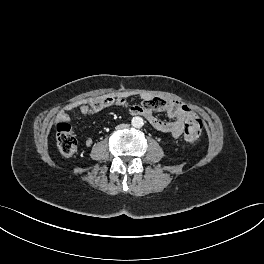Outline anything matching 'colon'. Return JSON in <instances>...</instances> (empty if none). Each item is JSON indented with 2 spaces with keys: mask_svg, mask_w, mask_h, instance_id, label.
Segmentation results:
<instances>
[{
  "mask_svg": "<svg viewBox=\"0 0 264 264\" xmlns=\"http://www.w3.org/2000/svg\"><path fill=\"white\" fill-rule=\"evenodd\" d=\"M202 122L200 119L191 117L187 119L184 127L185 140L194 144L202 133ZM56 141L59 151L67 157L77 151V141L68 121H61L57 124Z\"/></svg>",
  "mask_w": 264,
  "mask_h": 264,
  "instance_id": "colon-1",
  "label": "colon"
}]
</instances>
